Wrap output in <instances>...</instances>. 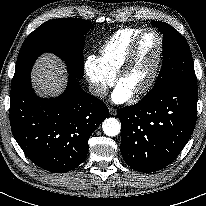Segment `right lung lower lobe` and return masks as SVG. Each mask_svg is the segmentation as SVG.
Masks as SVG:
<instances>
[{
    "instance_id": "1",
    "label": "right lung lower lobe",
    "mask_w": 206,
    "mask_h": 206,
    "mask_svg": "<svg viewBox=\"0 0 206 206\" xmlns=\"http://www.w3.org/2000/svg\"><path fill=\"white\" fill-rule=\"evenodd\" d=\"M108 116L105 104L82 90L73 75L56 98L37 96L30 76L11 88L12 133L32 162L53 173L71 171L85 160L89 137Z\"/></svg>"
}]
</instances>
